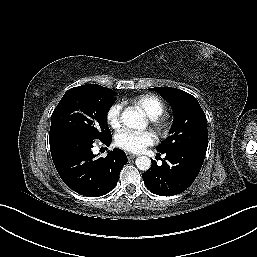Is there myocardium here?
Returning a JSON list of instances; mask_svg holds the SVG:
<instances>
[{
  "instance_id": "obj_1",
  "label": "myocardium",
  "mask_w": 257,
  "mask_h": 257,
  "mask_svg": "<svg viewBox=\"0 0 257 257\" xmlns=\"http://www.w3.org/2000/svg\"><path fill=\"white\" fill-rule=\"evenodd\" d=\"M153 125L158 129L159 131H165L169 127V120L168 117L165 114H161L158 117L151 119Z\"/></svg>"
}]
</instances>
